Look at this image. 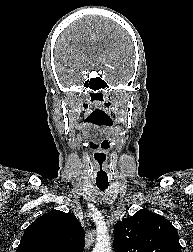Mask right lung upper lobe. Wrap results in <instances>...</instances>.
<instances>
[{
  "instance_id": "obj_1",
  "label": "right lung upper lobe",
  "mask_w": 193,
  "mask_h": 252,
  "mask_svg": "<svg viewBox=\"0 0 193 252\" xmlns=\"http://www.w3.org/2000/svg\"><path fill=\"white\" fill-rule=\"evenodd\" d=\"M84 232L75 215L59 210L38 217L16 252H83Z\"/></svg>"
}]
</instances>
